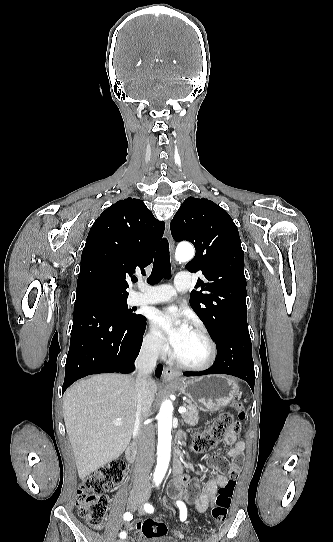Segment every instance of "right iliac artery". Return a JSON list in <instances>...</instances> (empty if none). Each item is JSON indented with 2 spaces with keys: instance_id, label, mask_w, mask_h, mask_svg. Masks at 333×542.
<instances>
[{
  "instance_id": "obj_1",
  "label": "right iliac artery",
  "mask_w": 333,
  "mask_h": 542,
  "mask_svg": "<svg viewBox=\"0 0 333 542\" xmlns=\"http://www.w3.org/2000/svg\"><path fill=\"white\" fill-rule=\"evenodd\" d=\"M133 518L132 514L130 512H126L124 514V520H127V521H130L131 519ZM120 537L121 538H126V533L125 532H121L120 533Z\"/></svg>"
}]
</instances>
